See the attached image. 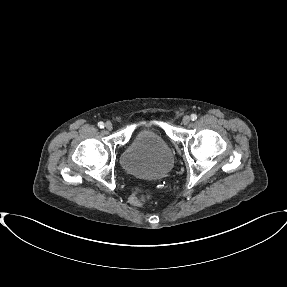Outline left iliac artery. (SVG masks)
I'll use <instances>...</instances> for the list:
<instances>
[{
  "label": "left iliac artery",
  "mask_w": 287,
  "mask_h": 287,
  "mask_svg": "<svg viewBox=\"0 0 287 287\" xmlns=\"http://www.w3.org/2000/svg\"><path fill=\"white\" fill-rule=\"evenodd\" d=\"M191 119L194 121V120H196L197 119V115L196 114H192L191 115Z\"/></svg>",
  "instance_id": "1"
}]
</instances>
